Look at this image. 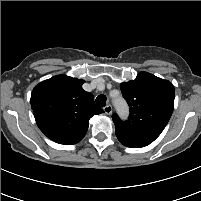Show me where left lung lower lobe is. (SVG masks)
Listing matches in <instances>:
<instances>
[{
	"label": "left lung lower lobe",
	"mask_w": 201,
	"mask_h": 201,
	"mask_svg": "<svg viewBox=\"0 0 201 201\" xmlns=\"http://www.w3.org/2000/svg\"><path fill=\"white\" fill-rule=\"evenodd\" d=\"M116 136L123 145L127 147H131V148H141L151 143V141H148V140L131 138V137L124 136L120 133H116Z\"/></svg>",
	"instance_id": "1"
}]
</instances>
